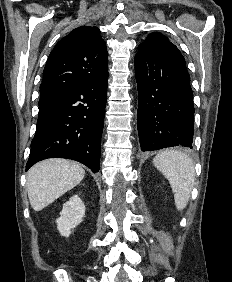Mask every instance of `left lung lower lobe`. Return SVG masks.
Returning a JSON list of instances; mask_svg holds the SVG:
<instances>
[{
    "mask_svg": "<svg viewBox=\"0 0 232 282\" xmlns=\"http://www.w3.org/2000/svg\"><path fill=\"white\" fill-rule=\"evenodd\" d=\"M137 127L143 152L182 146L192 149L193 92L185 59L170 41L140 44L135 56Z\"/></svg>",
    "mask_w": 232,
    "mask_h": 282,
    "instance_id": "obj_1",
    "label": "left lung lower lobe"
}]
</instances>
